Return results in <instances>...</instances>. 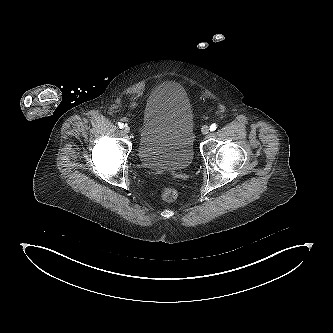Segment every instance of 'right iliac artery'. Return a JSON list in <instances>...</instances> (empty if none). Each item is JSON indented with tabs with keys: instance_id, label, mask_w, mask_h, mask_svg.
Returning a JSON list of instances; mask_svg holds the SVG:
<instances>
[{
	"instance_id": "1",
	"label": "right iliac artery",
	"mask_w": 333,
	"mask_h": 333,
	"mask_svg": "<svg viewBox=\"0 0 333 333\" xmlns=\"http://www.w3.org/2000/svg\"><path fill=\"white\" fill-rule=\"evenodd\" d=\"M118 126L120 129H122L124 127V124L123 123H118Z\"/></svg>"
}]
</instances>
